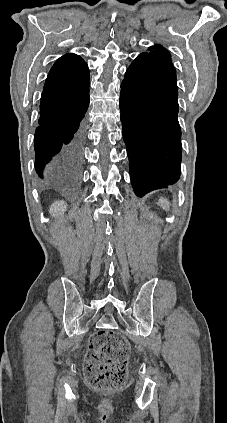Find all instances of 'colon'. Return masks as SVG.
Wrapping results in <instances>:
<instances>
[{"mask_svg":"<svg viewBox=\"0 0 227 423\" xmlns=\"http://www.w3.org/2000/svg\"><path fill=\"white\" fill-rule=\"evenodd\" d=\"M128 341L113 330L103 329L89 340L85 372L88 384L97 390H114L127 379Z\"/></svg>","mask_w":227,"mask_h":423,"instance_id":"obj_1","label":"colon"}]
</instances>
